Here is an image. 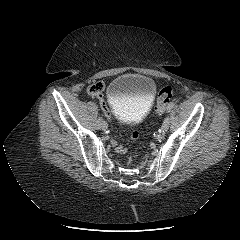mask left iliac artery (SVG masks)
I'll return each instance as SVG.
<instances>
[{"mask_svg":"<svg viewBox=\"0 0 240 240\" xmlns=\"http://www.w3.org/2000/svg\"><path fill=\"white\" fill-rule=\"evenodd\" d=\"M174 105H175L174 102H170V103L168 104V106H167V110H168V112L171 111V109L174 107Z\"/></svg>","mask_w":240,"mask_h":240,"instance_id":"obj_1","label":"left iliac artery"}]
</instances>
